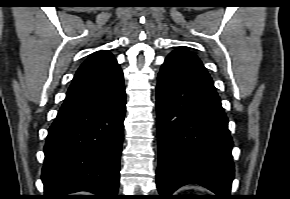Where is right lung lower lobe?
Returning a JSON list of instances; mask_svg holds the SVG:
<instances>
[{
	"mask_svg": "<svg viewBox=\"0 0 290 199\" xmlns=\"http://www.w3.org/2000/svg\"><path fill=\"white\" fill-rule=\"evenodd\" d=\"M126 95L123 79L96 94L65 100L48 130L43 199L78 191L116 199Z\"/></svg>",
	"mask_w": 290,
	"mask_h": 199,
	"instance_id": "1",
	"label": "right lung lower lobe"
}]
</instances>
